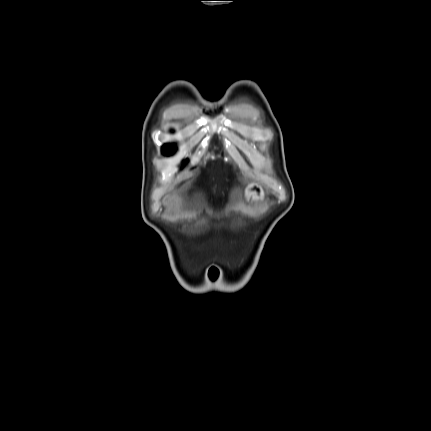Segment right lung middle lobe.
I'll use <instances>...</instances> for the list:
<instances>
[{"instance_id":"obj_1","label":"right lung middle lobe","mask_w":431,"mask_h":431,"mask_svg":"<svg viewBox=\"0 0 431 431\" xmlns=\"http://www.w3.org/2000/svg\"><path fill=\"white\" fill-rule=\"evenodd\" d=\"M172 150H173V148H172V147H170V146H166V147L164 148V152H165L166 154H170V153H172Z\"/></svg>"}]
</instances>
